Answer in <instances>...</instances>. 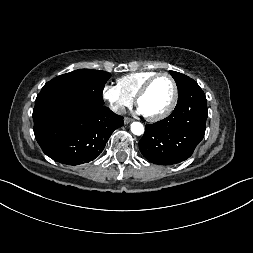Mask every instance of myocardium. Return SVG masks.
<instances>
[{
    "label": "myocardium",
    "instance_id": "myocardium-1",
    "mask_svg": "<svg viewBox=\"0 0 253 253\" xmlns=\"http://www.w3.org/2000/svg\"><path fill=\"white\" fill-rule=\"evenodd\" d=\"M160 77L169 78V80L171 81L172 87H173V94H172L170 104L168 105V107L164 111H162L161 113L154 115V116L145 115V118L151 122H157V121H160V120L166 118L167 116H169L172 113V111L174 110V108L177 104V100H178V86H177L176 80L174 79V77L171 74H169L167 72H162V73H158L155 76H153L152 78H150L140 88V90L137 92L136 96L134 97L135 105L138 107V103H139L140 99L147 93V91L149 90L151 85Z\"/></svg>",
    "mask_w": 253,
    "mask_h": 253
}]
</instances>
